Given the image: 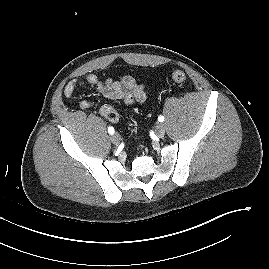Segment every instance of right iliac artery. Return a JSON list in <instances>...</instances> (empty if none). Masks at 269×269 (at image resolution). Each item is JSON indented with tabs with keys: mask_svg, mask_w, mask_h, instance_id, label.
I'll use <instances>...</instances> for the list:
<instances>
[{
	"mask_svg": "<svg viewBox=\"0 0 269 269\" xmlns=\"http://www.w3.org/2000/svg\"><path fill=\"white\" fill-rule=\"evenodd\" d=\"M108 132H109V134H113L114 133V128L113 127H108Z\"/></svg>",
	"mask_w": 269,
	"mask_h": 269,
	"instance_id": "1",
	"label": "right iliac artery"
}]
</instances>
